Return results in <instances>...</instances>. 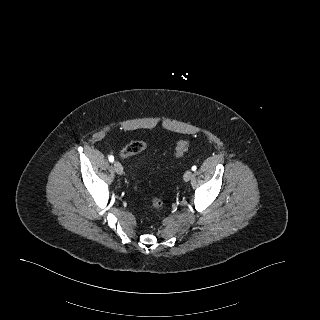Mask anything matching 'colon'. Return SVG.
Listing matches in <instances>:
<instances>
[{
  "mask_svg": "<svg viewBox=\"0 0 320 320\" xmlns=\"http://www.w3.org/2000/svg\"><path fill=\"white\" fill-rule=\"evenodd\" d=\"M191 144V141L189 139H182L179 140L176 144L175 151H174V156L176 158H181L188 150L189 146ZM146 148V143L143 141H132L128 143L123 149L120 151V156L123 158L138 154L145 150ZM151 207L154 210H158L162 207L163 202L160 198L158 197H151Z\"/></svg>",
  "mask_w": 320,
  "mask_h": 320,
  "instance_id": "1",
  "label": "colon"
}]
</instances>
